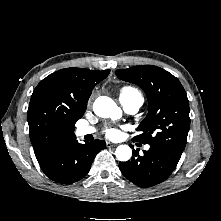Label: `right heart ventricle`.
<instances>
[{
    "label": "right heart ventricle",
    "mask_w": 221,
    "mask_h": 221,
    "mask_svg": "<svg viewBox=\"0 0 221 221\" xmlns=\"http://www.w3.org/2000/svg\"><path fill=\"white\" fill-rule=\"evenodd\" d=\"M120 97L126 99L140 98L143 100L141 93L134 87L125 86L121 89Z\"/></svg>",
    "instance_id": "e07e8e85"
}]
</instances>
